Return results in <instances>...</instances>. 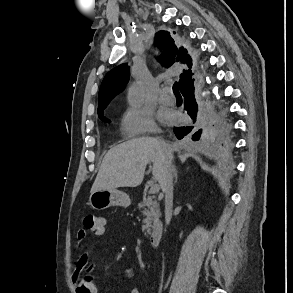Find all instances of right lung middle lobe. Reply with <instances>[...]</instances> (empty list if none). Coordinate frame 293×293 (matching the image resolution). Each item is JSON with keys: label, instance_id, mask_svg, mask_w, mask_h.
Listing matches in <instances>:
<instances>
[{"label": "right lung middle lobe", "instance_id": "dd1d6c3e", "mask_svg": "<svg viewBox=\"0 0 293 293\" xmlns=\"http://www.w3.org/2000/svg\"><path fill=\"white\" fill-rule=\"evenodd\" d=\"M99 118H100L101 120H103L104 122H107V123L110 122V120H108L107 118H105V117H103V116H99Z\"/></svg>", "mask_w": 293, "mask_h": 293}]
</instances>
